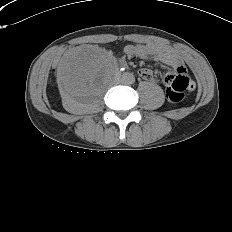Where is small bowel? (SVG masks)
Masks as SVG:
<instances>
[{"instance_id": "c3829d8e", "label": "small bowel", "mask_w": 232, "mask_h": 232, "mask_svg": "<svg viewBox=\"0 0 232 232\" xmlns=\"http://www.w3.org/2000/svg\"><path fill=\"white\" fill-rule=\"evenodd\" d=\"M126 53L130 56L138 55L142 59H153L155 61H159L165 65L173 67L176 74L187 76V71L183 59L181 58L179 53L171 46L152 42L139 43L127 46ZM139 75L140 77L148 81L153 79L152 72L146 68L140 69ZM189 82L191 85H193V87H189V90H193L195 88V84L190 79Z\"/></svg>"}]
</instances>
